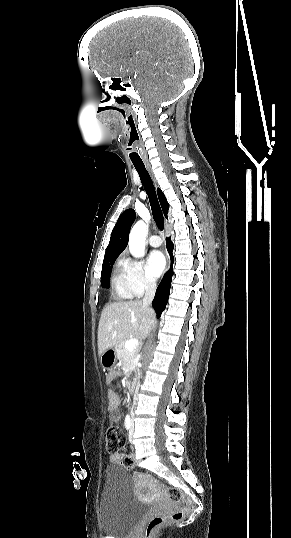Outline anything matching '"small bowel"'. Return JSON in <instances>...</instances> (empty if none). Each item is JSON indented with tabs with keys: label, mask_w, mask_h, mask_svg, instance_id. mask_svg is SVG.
I'll return each instance as SVG.
<instances>
[{
	"label": "small bowel",
	"mask_w": 291,
	"mask_h": 538,
	"mask_svg": "<svg viewBox=\"0 0 291 538\" xmlns=\"http://www.w3.org/2000/svg\"><path fill=\"white\" fill-rule=\"evenodd\" d=\"M115 379V375L114 374H110L107 376L106 378V381L109 385H111V383L114 381ZM107 396H108V410L111 414V417L114 419V420H118L119 418V415H118V406H119V397L118 395L116 394V392L112 389V388H109L108 391H107ZM129 458H132L133 455H129L127 456ZM125 457L123 456H120V455H111L110 456V461L111 463L113 464H119Z\"/></svg>",
	"instance_id": "obj_1"
}]
</instances>
